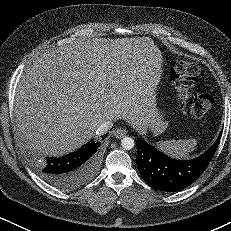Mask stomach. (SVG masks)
I'll use <instances>...</instances> for the list:
<instances>
[{
	"label": "stomach",
	"instance_id": "0dacf381",
	"mask_svg": "<svg viewBox=\"0 0 231 231\" xmlns=\"http://www.w3.org/2000/svg\"><path fill=\"white\" fill-rule=\"evenodd\" d=\"M168 122L163 114V111L157 109L155 117L149 124V129L154 135H159L166 130Z\"/></svg>",
	"mask_w": 231,
	"mask_h": 231
}]
</instances>
